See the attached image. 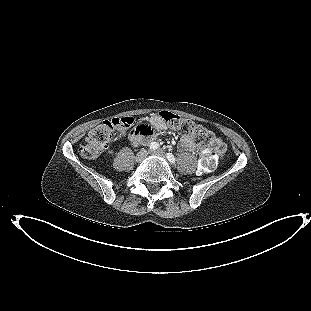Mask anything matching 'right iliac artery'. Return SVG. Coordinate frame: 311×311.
Here are the masks:
<instances>
[{
  "instance_id": "right-iliac-artery-1",
  "label": "right iliac artery",
  "mask_w": 311,
  "mask_h": 311,
  "mask_svg": "<svg viewBox=\"0 0 311 311\" xmlns=\"http://www.w3.org/2000/svg\"><path fill=\"white\" fill-rule=\"evenodd\" d=\"M149 148L151 150H156L159 148V144L157 142H152L150 145H149Z\"/></svg>"
}]
</instances>
